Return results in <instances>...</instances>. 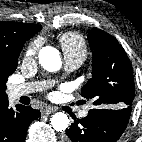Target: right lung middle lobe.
Wrapping results in <instances>:
<instances>
[{"label":"right lung middle lobe","mask_w":142,"mask_h":142,"mask_svg":"<svg viewBox=\"0 0 142 142\" xmlns=\"http://www.w3.org/2000/svg\"><path fill=\"white\" fill-rule=\"evenodd\" d=\"M21 49L15 51L9 59L0 58V94L6 95V81L17 68V60Z\"/></svg>","instance_id":"right-lung-middle-lobe-1"}]
</instances>
